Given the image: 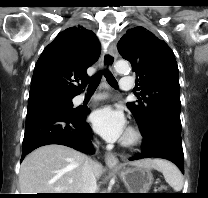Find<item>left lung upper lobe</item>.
<instances>
[{"instance_id":"1","label":"left lung upper lobe","mask_w":208,"mask_h":198,"mask_svg":"<svg viewBox=\"0 0 208 198\" xmlns=\"http://www.w3.org/2000/svg\"><path fill=\"white\" fill-rule=\"evenodd\" d=\"M117 48L131 63L137 78L135 86L141 90L136 102L127 103L141 133L159 121L181 129L179 73L173 51L144 27L128 30Z\"/></svg>"}]
</instances>
